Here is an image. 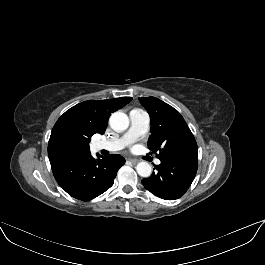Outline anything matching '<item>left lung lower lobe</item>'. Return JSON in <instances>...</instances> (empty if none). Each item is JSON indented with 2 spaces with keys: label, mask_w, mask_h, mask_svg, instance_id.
<instances>
[{
  "label": "left lung lower lobe",
  "mask_w": 265,
  "mask_h": 265,
  "mask_svg": "<svg viewBox=\"0 0 265 265\" xmlns=\"http://www.w3.org/2000/svg\"><path fill=\"white\" fill-rule=\"evenodd\" d=\"M155 166L157 173L142 180L144 187L159 198L174 200L180 198L190 187L198 168V155L170 156L160 158Z\"/></svg>",
  "instance_id": "1"
}]
</instances>
